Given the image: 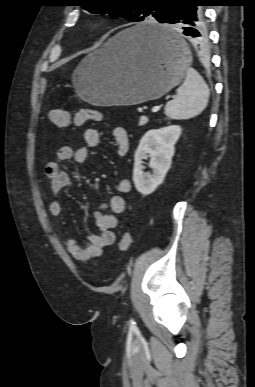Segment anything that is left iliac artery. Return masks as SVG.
<instances>
[{"label": "left iliac artery", "mask_w": 255, "mask_h": 387, "mask_svg": "<svg viewBox=\"0 0 255 387\" xmlns=\"http://www.w3.org/2000/svg\"><path fill=\"white\" fill-rule=\"evenodd\" d=\"M130 327H131V328H136L135 322H134L133 319L130 320Z\"/></svg>", "instance_id": "left-iliac-artery-1"}]
</instances>
